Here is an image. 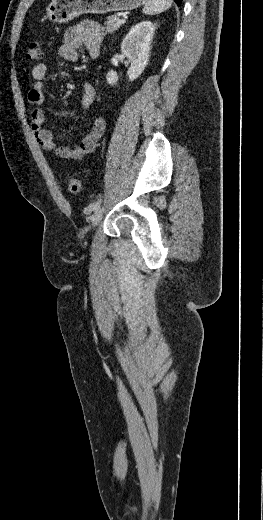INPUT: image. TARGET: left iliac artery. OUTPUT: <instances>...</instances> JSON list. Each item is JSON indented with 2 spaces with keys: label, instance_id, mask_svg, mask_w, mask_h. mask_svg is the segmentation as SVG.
I'll return each mask as SVG.
<instances>
[{
  "label": "left iliac artery",
  "instance_id": "obj_1",
  "mask_svg": "<svg viewBox=\"0 0 263 520\" xmlns=\"http://www.w3.org/2000/svg\"><path fill=\"white\" fill-rule=\"evenodd\" d=\"M101 202H102V199L100 198L98 201H96V203L93 205V211H96L100 205H101Z\"/></svg>",
  "mask_w": 263,
  "mask_h": 520
}]
</instances>
